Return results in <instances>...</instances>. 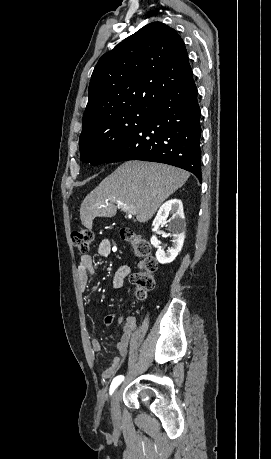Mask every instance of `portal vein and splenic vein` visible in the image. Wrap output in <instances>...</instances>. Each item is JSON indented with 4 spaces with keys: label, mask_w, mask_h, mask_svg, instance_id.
I'll use <instances>...</instances> for the list:
<instances>
[{
    "label": "portal vein and splenic vein",
    "mask_w": 271,
    "mask_h": 459,
    "mask_svg": "<svg viewBox=\"0 0 271 459\" xmlns=\"http://www.w3.org/2000/svg\"><path fill=\"white\" fill-rule=\"evenodd\" d=\"M122 210H124V212H128V214H132V216L135 214L134 208H122Z\"/></svg>",
    "instance_id": "18ae733b"
}]
</instances>
